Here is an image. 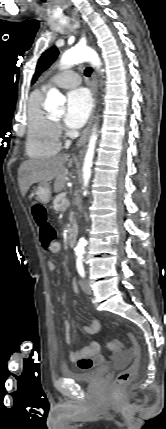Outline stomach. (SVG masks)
<instances>
[{
  "label": "stomach",
  "instance_id": "0dacf381",
  "mask_svg": "<svg viewBox=\"0 0 166 429\" xmlns=\"http://www.w3.org/2000/svg\"><path fill=\"white\" fill-rule=\"evenodd\" d=\"M38 202L47 204L51 198V190L48 184H40L31 194Z\"/></svg>",
  "mask_w": 166,
  "mask_h": 429
}]
</instances>
